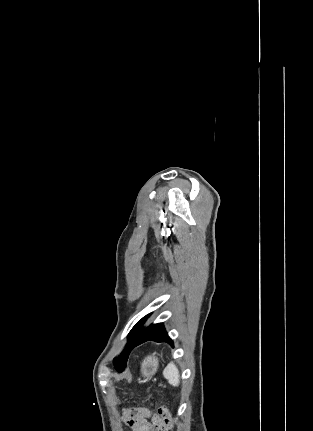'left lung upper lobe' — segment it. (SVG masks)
<instances>
[{
  "instance_id": "obj_1",
  "label": "left lung upper lobe",
  "mask_w": 313,
  "mask_h": 431,
  "mask_svg": "<svg viewBox=\"0 0 313 431\" xmlns=\"http://www.w3.org/2000/svg\"><path fill=\"white\" fill-rule=\"evenodd\" d=\"M150 315L151 314H148L145 317H143L130 331V333L128 335L129 341L126 345L125 350L118 357V359H114V365H115V368L117 371L121 372L126 367V363H127L129 354L132 350V344H133L134 340L136 339V337L138 336V334L140 333V331L142 330L143 324L145 323V321L148 319V317Z\"/></svg>"
}]
</instances>
